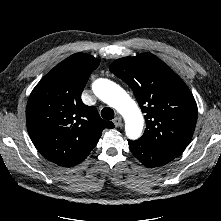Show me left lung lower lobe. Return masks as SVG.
<instances>
[{
    "label": "left lung lower lobe",
    "instance_id": "1",
    "mask_svg": "<svg viewBox=\"0 0 221 221\" xmlns=\"http://www.w3.org/2000/svg\"><path fill=\"white\" fill-rule=\"evenodd\" d=\"M129 148L133 155L146 167H157L172 161L177 156L162 151L138 139L128 140Z\"/></svg>",
    "mask_w": 221,
    "mask_h": 221
}]
</instances>
